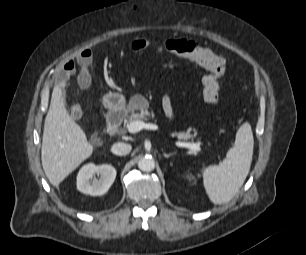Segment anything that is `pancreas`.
<instances>
[{"label":"pancreas","mask_w":306,"mask_h":255,"mask_svg":"<svg viewBox=\"0 0 306 255\" xmlns=\"http://www.w3.org/2000/svg\"><path fill=\"white\" fill-rule=\"evenodd\" d=\"M147 108L148 102L145 99H142L141 102L138 103L136 97L132 98L128 108L131 113L126 117V123L129 124L132 121L148 120L151 116H153V114H151ZM136 109H138L140 112L135 113L134 110ZM172 135L177 137L179 140H188L193 138V135L190 134V130H187L186 132H174Z\"/></svg>","instance_id":"obj_1"}]
</instances>
